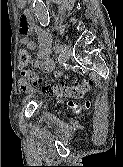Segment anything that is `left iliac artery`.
I'll return each instance as SVG.
<instances>
[{"mask_svg": "<svg viewBox=\"0 0 123 167\" xmlns=\"http://www.w3.org/2000/svg\"><path fill=\"white\" fill-rule=\"evenodd\" d=\"M61 50H62V46H61L60 44H57V45L54 47L55 53H59V52H61Z\"/></svg>", "mask_w": 123, "mask_h": 167, "instance_id": "1", "label": "left iliac artery"}]
</instances>
